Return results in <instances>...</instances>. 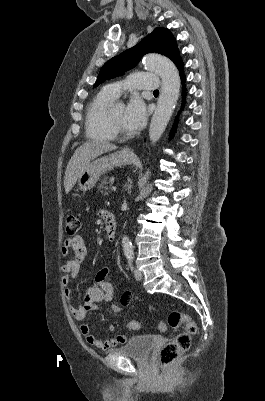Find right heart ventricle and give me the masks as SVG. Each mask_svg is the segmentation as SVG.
Returning <instances> with one entry per match:
<instances>
[{"label":"right heart ventricle","mask_w":265,"mask_h":401,"mask_svg":"<svg viewBox=\"0 0 265 401\" xmlns=\"http://www.w3.org/2000/svg\"><path fill=\"white\" fill-rule=\"evenodd\" d=\"M115 99L104 87L90 100L85 114V130L89 138L109 141L115 137L107 124V116Z\"/></svg>","instance_id":"1"}]
</instances>
